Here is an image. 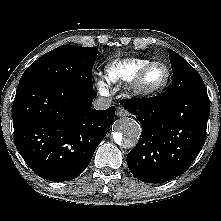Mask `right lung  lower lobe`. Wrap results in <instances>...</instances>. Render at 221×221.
<instances>
[{"label": "right lung lower lobe", "instance_id": "1", "mask_svg": "<svg viewBox=\"0 0 221 221\" xmlns=\"http://www.w3.org/2000/svg\"><path fill=\"white\" fill-rule=\"evenodd\" d=\"M96 95L62 83H19L12 107L15 146L39 177L69 181L86 169L115 115L114 106L91 107Z\"/></svg>", "mask_w": 221, "mask_h": 221}]
</instances>
